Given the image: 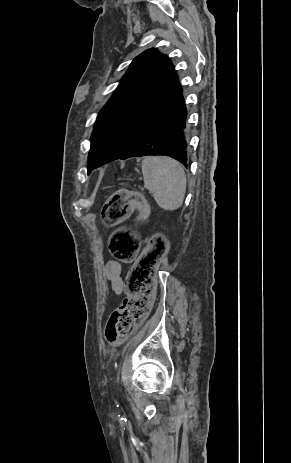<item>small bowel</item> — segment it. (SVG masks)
Returning <instances> with one entry per match:
<instances>
[{
	"instance_id": "obj_1",
	"label": "small bowel",
	"mask_w": 291,
	"mask_h": 463,
	"mask_svg": "<svg viewBox=\"0 0 291 463\" xmlns=\"http://www.w3.org/2000/svg\"><path fill=\"white\" fill-rule=\"evenodd\" d=\"M103 276L116 294L119 295L123 292L122 265L119 262L114 260L108 261L103 269Z\"/></svg>"
}]
</instances>
